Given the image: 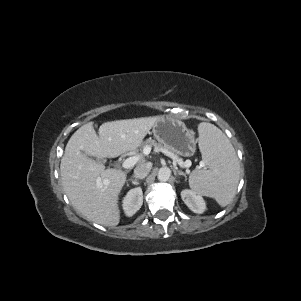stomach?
<instances>
[{
	"label": "stomach",
	"mask_w": 301,
	"mask_h": 301,
	"mask_svg": "<svg viewBox=\"0 0 301 301\" xmlns=\"http://www.w3.org/2000/svg\"><path fill=\"white\" fill-rule=\"evenodd\" d=\"M152 132L160 144L175 154L191 157L196 152L197 140L194 132L179 119L161 116L154 124Z\"/></svg>",
	"instance_id": "stomach-1"
}]
</instances>
